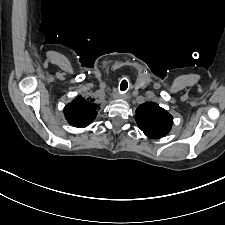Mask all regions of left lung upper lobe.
I'll return each instance as SVG.
<instances>
[{
  "label": "left lung upper lobe",
  "instance_id": "1",
  "mask_svg": "<svg viewBox=\"0 0 225 225\" xmlns=\"http://www.w3.org/2000/svg\"><path fill=\"white\" fill-rule=\"evenodd\" d=\"M135 119L143 133L153 139L164 137L173 124L172 116L153 102L140 105L136 109Z\"/></svg>",
  "mask_w": 225,
  "mask_h": 225
}]
</instances>
